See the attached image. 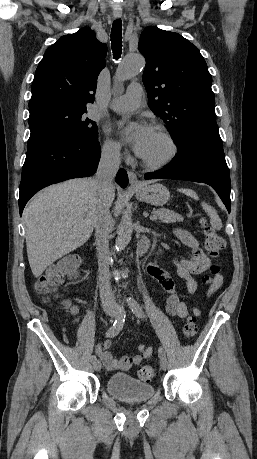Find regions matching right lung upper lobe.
<instances>
[{
	"instance_id": "cb5924a9",
	"label": "right lung upper lobe",
	"mask_w": 257,
	"mask_h": 459,
	"mask_svg": "<svg viewBox=\"0 0 257 459\" xmlns=\"http://www.w3.org/2000/svg\"><path fill=\"white\" fill-rule=\"evenodd\" d=\"M107 46L85 27L62 36L48 48L32 83L29 110L49 106L86 107L94 102L97 77L105 67Z\"/></svg>"
}]
</instances>
